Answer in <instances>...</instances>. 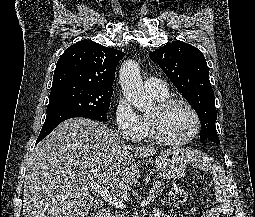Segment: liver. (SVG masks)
I'll return each mask as SVG.
<instances>
[{
    "label": "liver",
    "mask_w": 255,
    "mask_h": 217,
    "mask_svg": "<svg viewBox=\"0 0 255 217\" xmlns=\"http://www.w3.org/2000/svg\"><path fill=\"white\" fill-rule=\"evenodd\" d=\"M185 151V150H184ZM157 154L130 148L105 124L72 118L57 126L32 152L24 181V217H84L94 206L88 183L124 194L140 177L135 159ZM189 158L200 155L186 150Z\"/></svg>",
    "instance_id": "liver-1"
}]
</instances>
